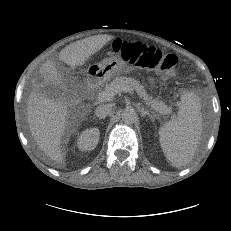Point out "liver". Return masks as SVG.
<instances>
[{
	"label": "liver",
	"mask_w": 231,
	"mask_h": 231,
	"mask_svg": "<svg viewBox=\"0 0 231 231\" xmlns=\"http://www.w3.org/2000/svg\"><path fill=\"white\" fill-rule=\"evenodd\" d=\"M114 37L111 35H95L67 45L59 53V59L71 68L82 66L86 61L100 51ZM40 73L44 85L53 83L62 89L66 86L63 74L56 68V63L47 60ZM43 85V86H44ZM69 110L62 100L51 99L41 90L34 88L27 102V120L32 137L44 154L57 164H64L61 150L62 137L70 126Z\"/></svg>",
	"instance_id": "liver-1"
}]
</instances>
